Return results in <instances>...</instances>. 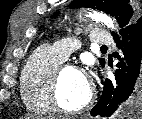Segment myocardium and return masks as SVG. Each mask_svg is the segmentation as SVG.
<instances>
[{
	"instance_id": "1",
	"label": "myocardium",
	"mask_w": 142,
	"mask_h": 119,
	"mask_svg": "<svg viewBox=\"0 0 142 119\" xmlns=\"http://www.w3.org/2000/svg\"><path fill=\"white\" fill-rule=\"evenodd\" d=\"M66 69H74L79 71V69L72 64L60 65L59 68L56 70L55 74L53 75L52 80L50 82L49 100H50L52 109L56 111L57 113L65 114V115H74V114H78L85 111L87 108L91 106L95 98V92L94 90L91 89L87 99L82 104H80L79 106L75 108L64 107L61 104L59 99V90H60L61 79Z\"/></svg>"
}]
</instances>
